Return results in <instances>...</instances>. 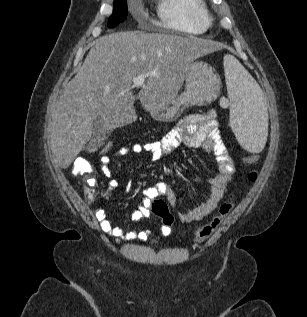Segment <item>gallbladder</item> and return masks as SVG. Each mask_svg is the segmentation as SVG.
Listing matches in <instances>:
<instances>
[{
  "instance_id": "1",
  "label": "gallbladder",
  "mask_w": 307,
  "mask_h": 317,
  "mask_svg": "<svg viewBox=\"0 0 307 317\" xmlns=\"http://www.w3.org/2000/svg\"><path fill=\"white\" fill-rule=\"evenodd\" d=\"M106 135H107V130L105 128L104 121L101 117H97L93 121V133L89 141V144L87 145V148H86L87 151L94 152L98 148L103 146L107 138Z\"/></svg>"
}]
</instances>
